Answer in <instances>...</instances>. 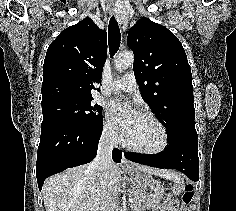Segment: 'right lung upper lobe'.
<instances>
[{"mask_svg":"<svg viewBox=\"0 0 236 211\" xmlns=\"http://www.w3.org/2000/svg\"><path fill=\"white\" fill-rule=\"evenodd\" d=\"M106 55V31L90 18L62 31L46 53L42 104L59 98H92L94 83H101Z\"/></svg>","mask_w":236,"mask_h":211,"instance_id":"1","label":"right lung upper lobe"}]
</instances>
